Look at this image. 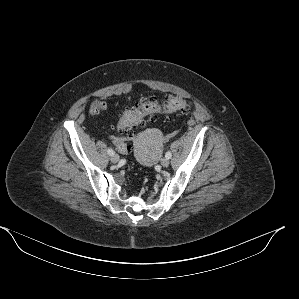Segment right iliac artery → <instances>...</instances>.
Returning <instances> with one entry per match:
<instances>
[{
    "label": "right iliac artery",
    "instance_id": "right-iliac-artery-1",
    "mask_svg": "<svg viewBox=\"0 0 299 299\" xmlns=\"http://www.w3.org/2000/svg\"><path fill=\"white\" fill-rule=\"evenodd\" d=\"M107 152H108L109 155H113V154H114V151H113L111 148H109V149L107 150Z\"/></svg>",
    "mask_w": 299,
    "mask_h": 299
}]
</instances>
